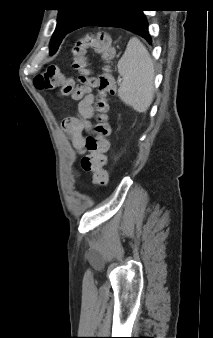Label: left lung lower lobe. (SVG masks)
Segmentation results:
<instances>
[{
    "mask_svg": "<svg viewBox=\"0 0 213 338\" xmlns=\"http://www.w3.org/2000/svg\"><path fill=\"white\" fill-rule=\"evenodd\" d=\"M112 8L92 7L72 27V30L86 26L119 27L143 37L149 44L152 39L143 11L134 9L128 0H111Z\"/></svg>",
    "mask_w": 213,
    "mask_h": 338,
    "instance_id": "0a47b994",
    "label": "left lung lower lobe"
}]
</instances>
